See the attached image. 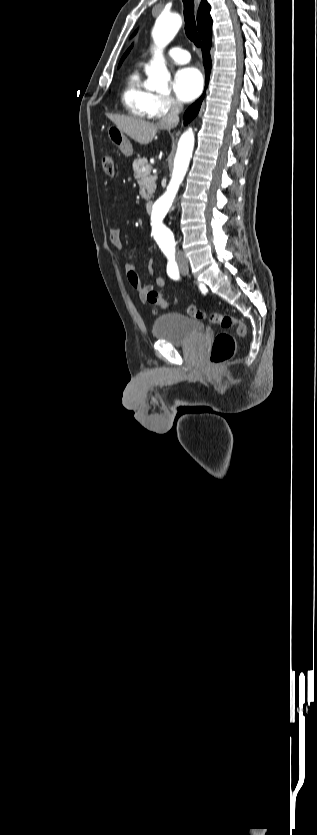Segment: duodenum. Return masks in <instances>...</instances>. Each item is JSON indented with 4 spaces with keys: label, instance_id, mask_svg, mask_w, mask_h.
Instances as JSON below:
<instances>
[{
    "label": "duodenum",
    "instance_id": "410a0bca",
    "mask_svg": "<svg viewBox=\"0 0 317 835\" xmlns=\"http://www.w3.org/2000/svg\"><path fill=\"white\" fill-rule=\"evenodd\" d=\"M152 207H153V202L152 201H148L145 205L146 211L148 213H150L152 211Z\"/></svg>",
    "mask_w": 317,
    "mask_h": 835
}]
</instances>
